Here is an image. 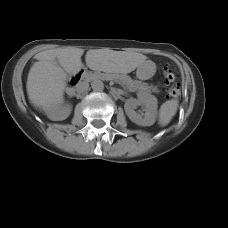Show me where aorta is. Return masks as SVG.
I'll list each match as a JSON object with an SVG mask.
<instances>
[{
	"label": "aorta",
	"mask_w": 228,
	"mask_h": 228,
	"mask_svg": "<svg viewBox=\"0 0 228 228\" xmlns=\"http://www.w3.org/2000/svg\"><path fill=\"white\" fill-rule=\"evenodd\" d=\"M91 86H92V89L98 93L103 92L104 90V84L101 81L93 82Z\"/></svg>",
	"instance_id": "1"
}]
</instances>
